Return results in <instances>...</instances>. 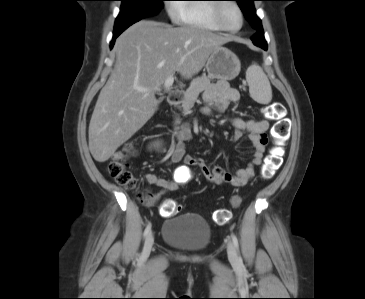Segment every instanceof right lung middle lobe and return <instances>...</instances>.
Returning a JSON list of instances; mask_svg holds the SVG:
<instances>
[{"instance_id":"1","label":"right lung middle lobe","mask_w":365,"mask_h":299,"mask_svg":"<svg viewBox=\"0 0 365 299\" xmlns=\"http://www.w3.org/2000/svg\"><path fill=\"white\" fill-rule=\"evenodd\" d=\"M120 14L115 25L128 21H139L145 17L156 15L163 8L164 0H120Z\"/></svg>"}]
</instances>
